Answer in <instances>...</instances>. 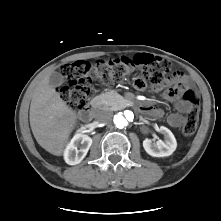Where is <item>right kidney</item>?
I'll return each mask as SVG.
<instances>
[{
    "instance_id": "obj_1",
    "label": "right kidney",
    "mask_w": 221,
    "mask_h": 221,
    "mask_svg": "<svg viewBox=\"0 0 221 221\" xmlns=\"http://www.w3.org/2000/svg\"><path fill=\"white\" fill-rule=\"evenodd\" d=\"M91 145V137L82 133L75 134L64 151L65 162L69 165L79 164L85 158Z\"/></svg>"
}]
</instances>
